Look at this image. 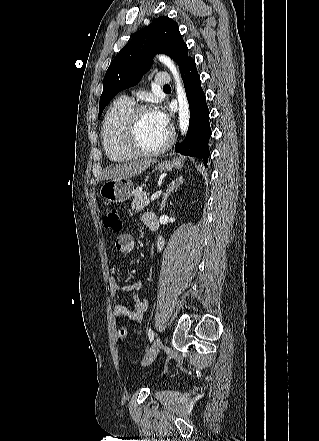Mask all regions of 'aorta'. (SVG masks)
Here are the masks:
<instances>
[{
	"instance_id": "762f6f07",
	"label": "aorta",
	"mask_w": 319,
	"mask_h": 441,
	"mask_svg": "<svg viewBox=\"0 0 319 441\" xmlns=\"http://www.w3.org/2000/svg\"><path fill=\"white\" fill-rule=\"evenodd\" d=\"M158 60L166 67H168V69L170 70V72L174 77L177 100L179 105V127L181 130V134L185 135L189 127L190 110H189V104L184 90V86L182 83V79L180 76V72L175 62L168 56L159 55Z\"/></svg>"
}]
</instances>
